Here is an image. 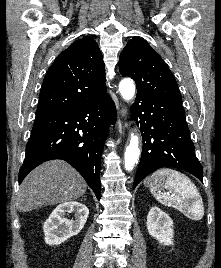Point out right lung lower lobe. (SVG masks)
<instances>
[{"label":"right lung lower lobe","instance_id":"obj_1","mask_svg":"<svg viewBox=\"0 0 221 268\" xmlns=\"http://www.w3.org/2000/svg\"><path fill=\"white\" fill-rule=\"evenodd\" d=\"M115 121V104L108 95L63 112L36 115L19 183L39 164L63 159L83 176L99 200L103 146L108 127Z\"/></svg>","mask_w":221,"mask_h":268}]
</instances>
